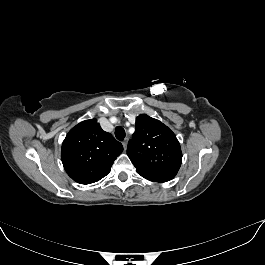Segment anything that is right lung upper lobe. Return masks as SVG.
<instances>
[{
  "instance_id": "1",
  "label": "right lung upper lobe",
  "mask_w": 265,
  "mask_h": 265,
  "mask_svg": "<svg viewBox=\"0 0 265 265\" xmlns=\"http://www.w3.org/2000/svg\"><path fill=\"white\" fill-rule=\"evenodd\" d=\"M123 146L102 130L96 119L83 121L66 135L61 159L67 174L80 184H90L105 177Z\"/></svg>"
}]
</instances>
